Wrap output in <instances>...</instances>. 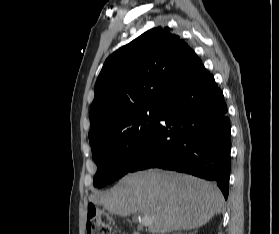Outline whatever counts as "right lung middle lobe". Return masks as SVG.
<instances>
[{
  "label": "right lung middle lobe",
  "instance_id": "1",
  "mask_svg": "<svg viewBox=\"0 0 279 234\" xmlns=\"http://www.w3.org/2000/svg\"><path fill=\"white\" fill-rule=\"evenodd\" d=\"M159 110L151 108L130 114L110 133L90 144L97 164L95 187H103L130 172L156 128Z\"/></svg>",
  "mask_w": 279,
  "mask_h": 234
}]
</instances>
